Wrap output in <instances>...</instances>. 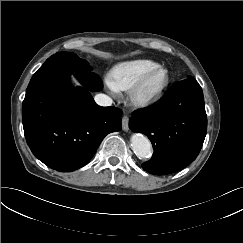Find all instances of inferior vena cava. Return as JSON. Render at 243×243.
<instances>
[{"instance_id": "obj_1", "label": "inferior vena cava", "mask_w": 243, "mask_h": 243, "mask_svg": "<svg viewBox=\"0 0 243 243\" xmlns=\"http://www.w3.org/2000/svg\"><path fill=\"white\" fill-rule=\"evenodd\" d=\"M94 99L100 106H111L113 102L112 99L105 94H97Z\"/></svg>"}]
</instances>
